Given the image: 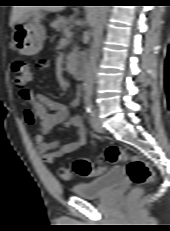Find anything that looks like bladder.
<instances>
[{"instance_id":"bladder-1","label":"bladder","mask_w":170,"mask_h":231,"mask_svg":"<svg viewBox=\"0 0 170 231\" xmlns=\"http://www.w3.org/2000/svg\"><path fill=\"white\" fill-rule=\"evenodd\" d=\"M125 178V169L123 167H114L99 177L75 185L72 188V192L74 195L81 198H101L114 190Z\"/></svg>"}]
</instances>
